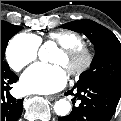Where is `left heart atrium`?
Returning a JSON list of instances; mask_svg holds the SVG:
<instances>
[{"mask_svg": "<svg viewBox=\"0 0 121 121\" xmlns=\"http://www.w3.org/2000/svg\"><path fill=\"white\" fill-rule=\"evenodd\" d=\"M66 82V72L60 65L37 63L24 73L21 86L26 92L47 94L61 90Z\"/></svg>", "mask_w": 121, "mask_h": 121, "instance_id": "1", "label": "left heart atrium"}]
</instances>
